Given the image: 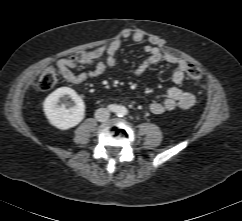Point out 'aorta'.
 <instances>
[{
    "label": "aorta",
    "mask_w": 242,
    "mask_h": 221,
    "mask_svg": "<svg viewBox=\"0 0 242 221\" xmlns=\"http://www.w3.org/2000/svg\"><path fill=\"white\" fill-rule=\"evenodd\" d=\"M116 113L119 115V116H123L127 113V108L124 107V106H119L117 109H116Z\"/></svg>",
    "instance_id": "obj_1"
}]
</instances>
